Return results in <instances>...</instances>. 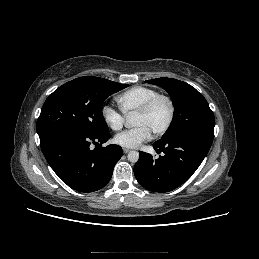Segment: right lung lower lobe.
I'll use <instances>...</instances> for the list:
<instances>
[{"label": "right lung lower lobe", "instance_id": "98d812e1", "mask_svg": "<svg viewBox=\"0 0 259 259\" xmlns=\"http://www.w3.org/2000/svg\"><path fill=\"white\" fill-rule=\"evenodd\" d=\"M42 152L51 168L69 187L80 192L103 188L111 179L122 148L108 145L91 149L110 138V133L89 134L59 128L39 135Z\"/></svg>", "mask_w": 259, "mask_h": 259}]
</instances>
